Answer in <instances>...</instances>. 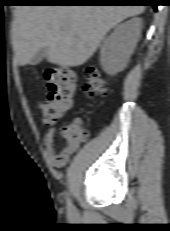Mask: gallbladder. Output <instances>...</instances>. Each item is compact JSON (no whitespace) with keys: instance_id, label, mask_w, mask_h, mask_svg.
I'll list each match as a JSON object with an SVG mask.
<instances>
[{"instance_id":"gallbladder-1","label":"gallbladder","mask_w":170,"mask_h":231,"mask_svg":"<svg viewBox=\"0 0 170 231\" xmlns=\"http://www.w3.org/2000/svg\"><path fill=\"white\" fill-rule=\"evenodd\" d=\"M46 53H47V48L46 47L41 48L32 58L31 64L35 65L39 63L46 56Z\"/></svg>"}]
</instances>
